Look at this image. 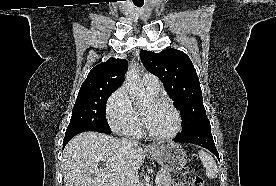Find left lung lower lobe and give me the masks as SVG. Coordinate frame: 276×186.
Masks as SVG:
<instances>
[{"mask_svg": "<svg viewBox=\"0 0 276 186\" xmlns=\"http://www.w3.org/2000/svg\"><path fill=\"white\" fill-rule=\"evenodd\" d=\"M175 142H186L202 146L219 159L218 151L215 147L214 140L211 134L210 127L199 128L185 135H179L174 139Z\"/></svg>", "mask_w": 276, "mask_h": 186, "instance_id": "left-lung-lower-lobe-1", "label": "left lung lower lobe"}]
</instances>
